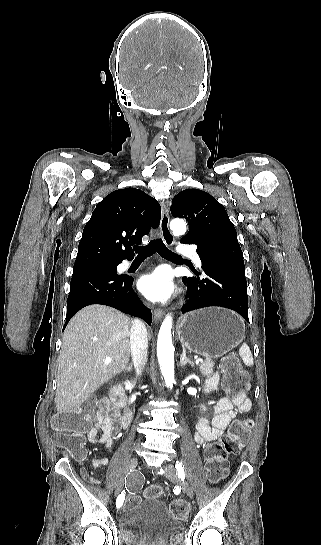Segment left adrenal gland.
<instances>
[{
    "label": "left adrenal gland",
    "instance_id": "obj_1",
    "mask_svg": "<svg viewBox=\"0 0 321 545\" xmlns=\"http://www.w3.org/2000/svg\"><path fill=\"white\" fill-rule=\"evenodd\" d=\"M187 363H189V365H191V367H194V363H192V361H190V359H188V357H186V351H185V349H183L182 355L180 357V367H185V365H187Z\"/></svg>",
    "mask_w": 321,
    "mask_h": 545
}]
</instances>
